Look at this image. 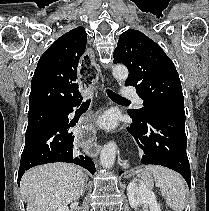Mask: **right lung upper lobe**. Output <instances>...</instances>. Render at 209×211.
Returning a JSON list of instances; mask_svg holds the SVG:
<instances>
[{
    "instance_id": "cb5924a9",
    "label": "right lung upper lobe",
    "mask_w": 209,
    "mask_h": 211,
    "mask_svg": "<svg viewBox=\"0 0 209 211\" xmlns=\"http://www.w3.org/2000/svg\"><path fill=\"white\" fill-rule=\"evenodd\" d=\"M86 43L85 29L77 27L58 38L41 56L31 81L29 112L81 101L78 79L81 76L89 82L94 76V67L84 56Z\"/></svg>"
}]
</instances>
